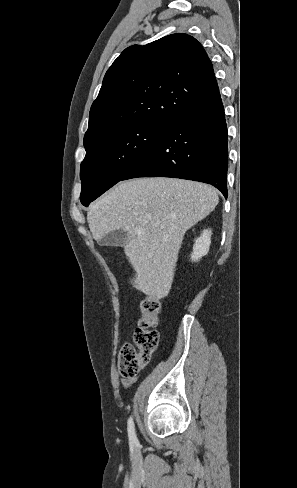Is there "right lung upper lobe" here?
<instances>
[{"instance_id":"1","label":"right lung upper lobe","mask_w":297,"mask_h":488,"mask_svg":"<svg viewBox=\"0 0 297 488\" xmlns=\"http://www.w3.org/2000/svg\"><path fill=\"white\" fill-rule=\"evenodd\" d=\"M218 95L212 63L194 37L176 33L130 46L105 74L84 146L132 124L171 123Z\"/></svg>"}]
</instances>
